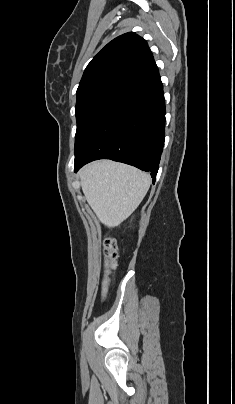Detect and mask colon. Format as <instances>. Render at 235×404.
Wrapping results in <instances>:
<instances>
[{"instance_id":"5ec220e1","label":"colon","mask_w":235,"mask_h":404,"mask_svg":"<svg viewBox=\"0 0 235 404\" xmlns=\"http://www.w3.org/2000/svg\"><path fill=\"white\" fill-rule=\"evenodd\" d=\"M117 244L115 239L107 238L104 241V257H105V277H104V294L107 292L110 282V276L117 267Z\"/></svg>"}]
</instances>
